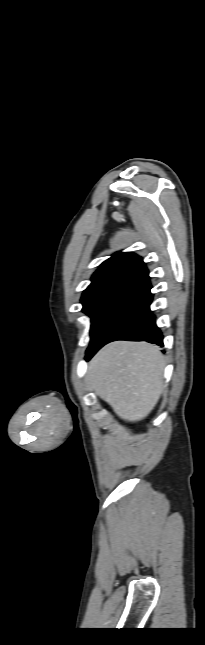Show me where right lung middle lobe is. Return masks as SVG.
<instances>
[{
	"mask_svg": "<svg viewBox=\"0 0 205 645\" xmlns=\"http://www.w3.org/2000/svg\"><path fill=\"white\" fill-rule=\"evenodd\" d=\"M150 301V291L125 289L83 304V312L91 317L92 323L91 342L87 353L98 350L115 331L131 320Z\"/></svg>",
	"mask_w": 205,
	"mask_h": 645,
	"instance_id": "dd1d6c3e",
	"label": "right lung middle lobe"
}]
</instances>
